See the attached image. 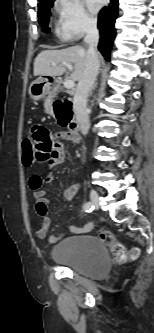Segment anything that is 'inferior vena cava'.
Masks as SVG:
<instances>
[{"label": "inferior vena cava", "mask_w": 154, "mask_h": 333, "mask_svg": "<svg viewBox=\"0 0 154 333\" xmlns=\"http://www.w3.org/2000/svg\"><path fill=\"white\" fill-rule=\"evenodd\" d=\"M85 30L86 36L84 42L88 45L85 68L83 76L78 82L73 101L76 119L83 135H87L90 127L87 111V97L90 90L93 88L100 65L97 54V45L99 42L97 23L95 21L86 22Z\"/></svg>", "instance_id": "obj_1"}]
</instances>
